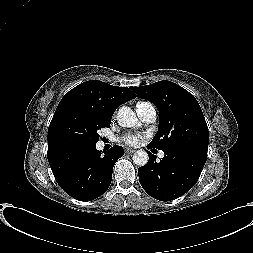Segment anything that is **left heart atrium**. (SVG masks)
<instances>
[{
    "label": "left heart atrium",
    "mask_w": 253,
    "mask_h": 253,
    "mask_svg": "<svg viewBox=\"0 0 253 253\" xmlns=\"http://www.w3.org/2000/svg\"><path fill=\"white\" fill-rule=\"evenodd\" d=\"M142 137L143 136L140 135V134H127V135L122 137V141L125 142L128 145L135 146L140 142Z\"/></svg>",
    "instance_id": "39dd6f15"
}]
</instances>
